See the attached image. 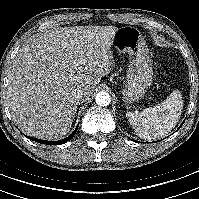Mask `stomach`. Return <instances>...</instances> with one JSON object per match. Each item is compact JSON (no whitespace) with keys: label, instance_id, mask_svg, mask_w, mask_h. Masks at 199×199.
I'll return each mask as SVG.
<instances>
[{"label":"stomach","instance_id":"1","mask_svg":"<svg viewBox=\"0 0 199 199\" xmlns=\"http://www.w3.org/2000/svg\"><path fill=\"white\" fill-rule=\"evenodd\" d=\"M112 47L129 55L126 82L121 90L123 100L128 105L138 102L150 87L153 75L152 60L144 37L138 28L124 26L117 30Z\"/></svg>","mask_w":199,"mask_h":199}]
</instances>
